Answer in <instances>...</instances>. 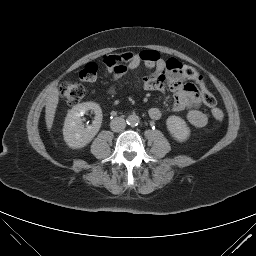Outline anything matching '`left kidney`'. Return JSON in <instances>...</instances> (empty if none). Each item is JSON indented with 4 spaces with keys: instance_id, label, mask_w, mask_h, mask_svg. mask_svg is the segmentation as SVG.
I'll return each mask as SVG.
<instances>
[{
    "instance_id": "obj_1",
    "label": "left kidney",
    "mask_w": 256,
    "mask_h": 256,
    "mask_svg": "<svg viewBox=\"0 0 256 256\" xmlns=\"http://www.w3.org/2000/svg\"><path fill=\"white\" fill-rule=\"evenodd\" d=\"M167 129L170 134L179 142L187 140L190 136V129L186 122L179 116H169L166 120Z\"/></svg>"
}]
</instances>
